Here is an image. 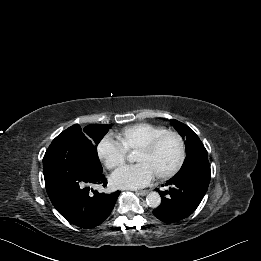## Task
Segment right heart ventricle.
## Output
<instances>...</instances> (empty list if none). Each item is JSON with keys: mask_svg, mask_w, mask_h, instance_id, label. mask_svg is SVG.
<instances>
[{"mask_svg": "<svg viewBox=\"0 0 261 261\" xmlns=\"http://www.w3.org/2000/svg\"><path fill=\"white\" fill-rule=\"evenodd\" d=\"M165 131L167 129L162 126L150 123H137L123 128L116 134V138L126 150L134 151Z\"/></svg>", "mask_w": 261, "mask_h": 261, "instance_id": "obj_1", "label": "right heart ventricle"}]
</instances>
